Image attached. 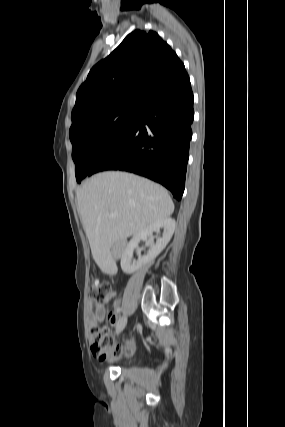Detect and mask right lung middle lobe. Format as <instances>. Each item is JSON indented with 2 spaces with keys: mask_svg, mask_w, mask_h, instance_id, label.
<instances>
[{
  "mask_svg": "<svg viewBox=\"0 0 285 427\" xmlns=\"http://www.w3.org/2000/svg\"><path fill=\"white\" fill-rule=\"evenodd\" d=\"M141 110L142 105H130L84 124L69 134L78 183L124 139Z\"/></svg>",
  "mask_w": 285,
  "mask_h": 427,
  "instance_id": "obj_1",
  "label": "right lung middle lobe"
}]
</instances>
